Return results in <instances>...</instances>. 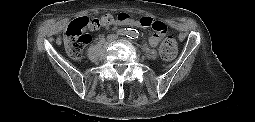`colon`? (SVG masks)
<instances>
[{
    "mask_svg": "<svg viewBox=\"0 0 255 122\" xmlns=\"http://www.w3.org/2000/svg\"><path fill=\"white\" fill-rule=\"evenodd\" d=\"M132 19L128 14L121 13L116 17L111 15L102 16L99 19L89 20L87 18H78L71 22L65 30V48L67 53L73 59H80L84 48L90 43L91 31H96L101 27H109L115 22H126ZM139 27L150 28L165 35V39L160 46V55L165 60L173 59L177 54V43L171 35V30L160 21L151 17H140L137 19Z\"/></svg>",
    "mask_w": 255,
    "mask_h": 122,
    "instance_id": "5ec220e1",
    "label": "colon"
}]
</instances>
